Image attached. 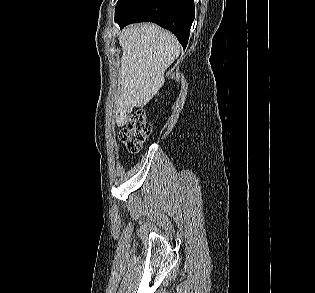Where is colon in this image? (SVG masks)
I'll list each match as a JSON object with an SVG mask.
<instances>
[{
	"mask_svg": "<svg viewBox=\"0 0 315 293\" xmlns=\"http://www.w3.org/2000/svg\"><path fill=\"white\" fill-rule=\"evenodd\" d=\"M151 132V127L146 121L142 111H136L122 129L120 137L129 153H138Z\"/></svg>",
	"mask_w": 315,
	"mask_h": 293,
	"instance_id": "1",
	"label": "colon"
}]
</instances>
